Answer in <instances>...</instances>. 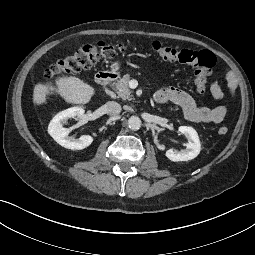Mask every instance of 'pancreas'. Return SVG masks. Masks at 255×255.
Instances as JSON below:
<instances>
[{
    "instance_id": "1",
    "label": "pancreas",
    "mask_w": 255,
    "mask_h": 255,
    "mask_svg": "<svg viewBox=\"0 0 255 255\" xmlns=\"http://www.w3.org/2000/svg\"><path fill=\"white\" fill-rule=\"evenodd\" d=\"M130 75L125 74L122 78H120L116 83H115V88L114 90L116 91L117 95L119 98H122L123 100H133L134 97L132 95V92L129 88V82H130ZM170 110H174L172 107L169 108Z\"/></svg>"
}]
</instances>
